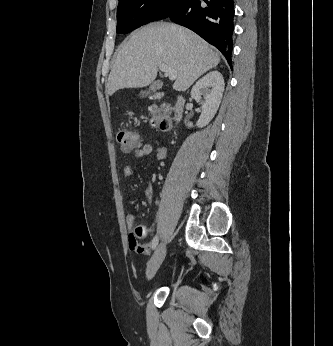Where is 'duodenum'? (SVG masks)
<instances>
[{"label": "duodenum", "mask_w": 333, "mask_h": 346, "mask_svg": "<svg viewBox=\"0 0 333 346\" xmlns=\"http://www.w3.org/2000/svg\"><path fill=\"white\" fill-rule=\"evenodd\" d=\"M184 105H185V99L183 95H178L176 102H175V115H174V121L178 122L184 111Z\"/></svg>", "instance_id": "410a0bca"}]
</instances>
